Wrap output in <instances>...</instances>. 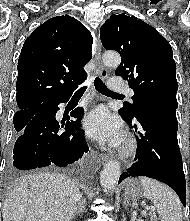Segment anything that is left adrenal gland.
I'll return each mask as SVG.
<instances>
[{
  "label": "left adrenal gland",
  "instance_id": "a2214340",
  "mask_svg": "<svg viewBox=\"0 0 190 221\" xmlns=\"http://www.w3.org/2000/svg\"><path fill=\"white\" fill-rule=\"evenodd\" d=\"M123 203L126 205V206H131V203H130V201H129V198L125 195L124 196V201H123Z\"/></svg>",
  "mask_w": 190,
  "mask_h": 221
}]
</instances>
